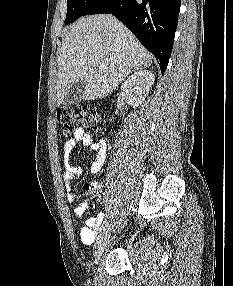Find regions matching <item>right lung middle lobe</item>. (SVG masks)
Segmentation results:
<instances>
[{
    "mask_svg": "<svg viewBox=\"0 0 233 286\" xmlns=\"http://www.w3.org/2000/svg\"><path fill=\"white\" fill-rule=\"evenodd\" d=\"M96 1L97 0H67L65 24H69L83 16Z\"/></svg>",
    "mask_w": 233,
    "mask_h": 286,
    "instance_id": "1",
    "label": "right lung middle lobe"
}]
</instances>
